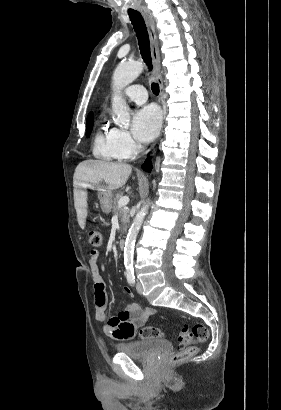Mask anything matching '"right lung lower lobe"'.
Instances as JSON below:
<instances>
[{"label": "right lung lower lobe", "instance_id": "right-lung-lower-lobe-1", "mask_svg": "<svg viewBox=\"0 0 281 410\" xmlns=\"http://www.w3.org/2000/svg\"><path fill=\"white\" fill-rule=\"evenodd\" d=\"M142 168H143L144 170L148 171V172L152 170V164H151V161H150V157H148V158L145 160V163H144V165H142Z\"/></svg>", "mask_w": 281, "mask_h": 410}]
</instances>
